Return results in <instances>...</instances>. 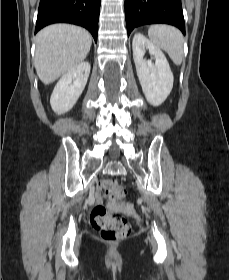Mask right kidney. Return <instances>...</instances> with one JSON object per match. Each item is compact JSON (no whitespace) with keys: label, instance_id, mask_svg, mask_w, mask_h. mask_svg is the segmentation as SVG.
<instances>
[{"label":"right kidney","instance_id":"ca27d5eb","mask_svg":"<svg viewBox=\"0 0 229 280\" xmlns=\"http://www.w3.org/2000/svg\"><path fill=\"white\" fill-rule=\"evenodd\" d=\"M89 73L90 64L84 61L62 76L50 98L55 113L60 115L73 108L85 88Z\"/></svg>","mask_w":229,"mask_h":280}]
</instances>
